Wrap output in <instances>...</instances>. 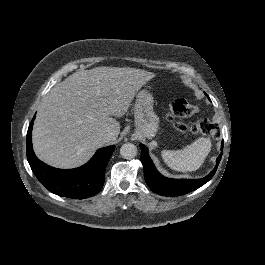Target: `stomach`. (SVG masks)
I'll return each mask as SVG.
<instances>
[{
	"label": "stomach",
	"instance_id": "1",
	"mask_svg": "<svg viewBox=\"0 0 265 265\" xmlns=\"http://www.w3.org/2000/svg\"><path fill=\"white\" fill-rule=\"evenodd\" d=\"M154 98L147 89L140 90L134 105L135 132L141 138H153L158 132L159 117L153 110Z\"/></svg>",
	"mask_w": 265,
	"mask_h": 265
}]
</instances>
